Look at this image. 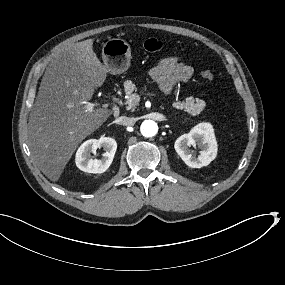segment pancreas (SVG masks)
<instances>
[{
  "mask_svg": "<svg viewBox=\"0 0 285 285\" xmlns=\"http://www.w3.org/2000/svg\"><path fill=\"white\" fill-rule=\"evenodd\" d=\"M124 91L127 96L133 95V89L136 88V83L127 79L123 82ZM205 102L199 98L187 97L184 101L174 102L172 106L176 109L184 110L185 112L196 116L200 114L205 108Z\"/></svg>",
  "mask_w": 285,
  "mask_h": 285,
  "instance_id": "1",
  "label": "pancreas"
}]
</instances>
